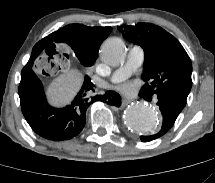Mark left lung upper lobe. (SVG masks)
Wrapping results in <instances>:
<instances>
[{
  "instance_id": "5c2ea615",
  "label": "left lung upper lobe",
  "mask_w": 215,
  "mask_h": 183,
  "mask_svg": "<svg viewBox=\"0 0 215 183\" xmlns=\"http://www.w3.org/2000/svg\"><path fill=\"white\" fill-rule=\"evenodd\" d=\"M123 36L144 50L142 78L145 82L142 94L164 95L185 107L191 90L192 64L180 42L159 26L138 23L135 26H119Z\"/></svg>"
}]
</instances>
